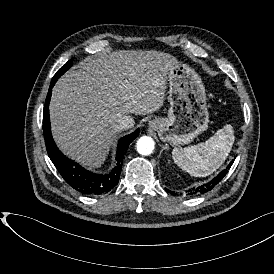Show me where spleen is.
<instances>
[{
  "label": "spleen",
  "instance_id": "3e777b00",
  "mask_svg": "<svg viewBox=\"0 0 274 274\" xmlns=\"http://www.w3.org/2000/svg\"><path fill=\"white\" fill-rule=\"evenodd\" d=\"M234 140L233 127L227 124L206 142L184 149L174 148L172 157L175 163L190 175L206 177L225 162Z\"/></svg>",
  "mask_w": 274,
  "mask_h": 274
}]
</instances>
